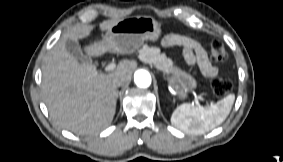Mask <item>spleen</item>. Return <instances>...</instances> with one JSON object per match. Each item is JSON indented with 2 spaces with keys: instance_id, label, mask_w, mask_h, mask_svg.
<instances>
[{
  "instance_id": "1",
  "label": "spleen",
  "mask_w": 283,
  "mask_h": 162,
  "mask_svg": "<svg viewBox=\"0 0 283 162\" xmlns=\"http://www.w3.org/2000/svg\"><path fill=\"white\" fill-rule=\"evenodd\" d=\"M234 101L235 95L229 94L216 104L206 108L184 103L173 111L171 123L189 134H204L225 121Z\"/></svg>"
}]
</instances>
